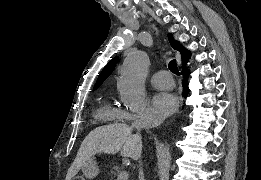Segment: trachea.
I'll return each instance as SVG.
<instances>
[{"label":"trachea","mask_w":261,"mask_h":180,"mask_svg":"<svg viewBox=\"0 0 261 180\" xmlns=\"http://www.w3.org/2000/svg\"><path fill=\"white\" fill-rule=\"evenodd\" d=\"M168 67H169V70L174 73L175 75H180V72L178 70V67H177V63H176V60L173 59L169 62L168 64Z\"/></svg>","instance_id":"1"}]
</instances>
